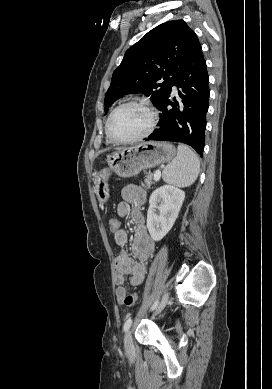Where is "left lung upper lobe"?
<instances>
[{
	"instance_id": "5c2ea615",
	"label": "left lung upper lobe",
	"mask_w": 272,
	"mask_h": 389,
	"mask_svg": "<svg viewBox=\"0 0 272 389\" xmlns=\"http://www.w3.org/2000/svg\"><path fill=\"white\" fill-rule=\"evenodd\" d=\"M201 48L184 20L165 22L130 47L112 75L105 95V113L122 95L144 93L159 107L171 83Z\"/></svg>"
}]
</instances>
